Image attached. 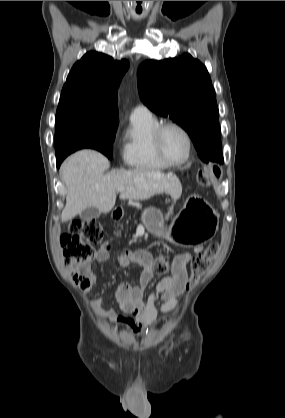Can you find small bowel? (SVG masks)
Segmentation results:
<instances>
[{
	"instance_id": "small-bowel-1",
	"label": "small bowel",
	"mask_w": 285,
	"mask_h": 418,
	"mask_svg": "<svg viewBox=\"0 0 285 418\" xmlns=\"http://www.w3.org/2000/svg\"><path fill=\"white\" fill-rule=\"evenodd\" d=\"M192 257L191 253H182L174 257L171 275L159 281L154 291L144 300V290L155 273L153 257L147 252H138L133 257L120 253L117 256V262L120 267L128 268L136 265L142 270L138 285L132 286L130 283L124 282L118 287L116 300L124 315L117 316L110 312V318L117 323L130 327L134 335H141L144 330L153 324L159 313L171 312L176 307L179 296L183 293L187 283L186 268L190 264ZM108 258V250L101 248L96 252L94 261L102 264ZM74 266L77 269L85 267L88 271L90 269L89 265L75 264ZM90 277L93 285L94 276L90 275ZM160 299L163 300V304L157 307V302Z\"/></svg>"
}]
</instances>
